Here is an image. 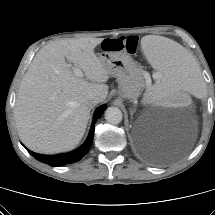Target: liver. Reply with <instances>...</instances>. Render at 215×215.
<instances>
[{
  "label": "liver",
  "mask_w": 215,
  "mask_h": 215,
  "mask_svg": "<svg viewBox=\"0 0 215 215\" xmlns=\"http://www.w3.org/2000/svg\"><path fill=\"white\" fill-rule=\"evenodd\" d=\"M103 38L62 39L38 51L22 79L14 109L20 139L30 150L54 154L82 139L92 108L88 101L108 95L109 71L94 53ZM68 59L83 70L77 76ZM90 80L91 82H88Z\"/></svg>",
  "instance_id": "obj_1"
}]
</instances>
